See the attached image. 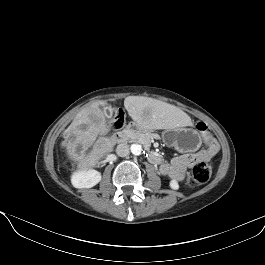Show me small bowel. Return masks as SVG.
I'll return each mask as SVG.
<instances>
[{"mask_svg":"<svg viewBox=\"0 0 265 265\" xmlns=\"http://www.w3.org/2000/svg\"><path fill=\"white\" fill-rule=\"evenodd\" d=\"M207 148L193 153L180 154L169 162H164L159 165V171L162 175L181 181L183 180L188 168L203 161H207L214 157L219 152V144L211 137V140L206 142Z\"/></svg>","mask_w":265,"mask_h":265,"instance_id":"obj_1","label":"small bowel"}]
</instances>
